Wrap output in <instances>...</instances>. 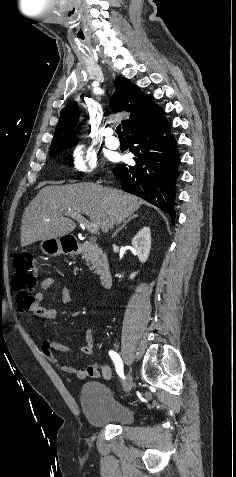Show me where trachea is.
Returning a JSON list of instances; mask_svg holds the SVG:
<instances>
[{"label":"trachea","instance_id":"obj_1","mask_svg":"<svg viewBox=\"0 0 236 477\" xmlns=\"http://www.w3.org/2000/svg\"><path fill=\"white\" fill-rule=\"evenodd\" d=\"M116 133L118 135L119 138H124L123 134H122V131H121V125H118L116 127Z\"/></svg>","mask_w":236,"mask_h":477}]
</instances>
